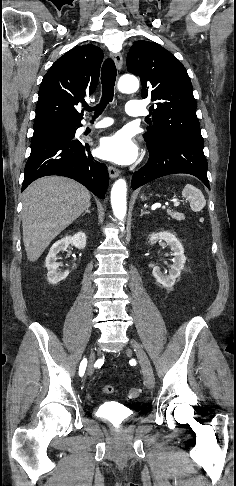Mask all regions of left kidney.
Wrapping results in <instances>:
<instances>
[{
	"instance_id": "1",
	"label": "left kidney",
	"mask_w": 236,
	"mask_h": 486,
	"mask_svg": "<svg viewBox=\"0 0 236 486\" xmlns=\"http://www.w3.org/2000/svg\"><path fill=\"white\" fill-rule=\"evenodd\" d=\"M164 240L173 252V264L169 270V275H164L159 267H154L152 274L158 283L166 288H170L175 284L176 278L180 276L181 271L184 269L186 257L184 255V248L180 241L172 233L162 231L159 233H153L150 235L149 242L151 244L156 243L157 240Z\"/></svg>"
}]
</instances>
